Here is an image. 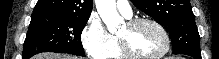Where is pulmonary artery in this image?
<instances>
[{
    "mask_svg": "<svg viewBox=\"0 0 219 59\" xmlns=\"http://www.w3.org/2000/svg\"><path fill=\"white\" fill-rule=\"evenodd\" d=\"M116 7L125 17L132 16V7L128 1H116Z\"/></svg>",
    "mask_w": 219,
    "mask_h": 59,
    "instance_id": "pulmonary-artery-1",
    "label": "pulmonary artery"
}]
</instances>
